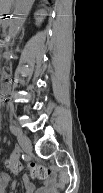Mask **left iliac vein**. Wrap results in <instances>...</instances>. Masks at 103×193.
I'll return each instance as SVG.
<instances>
[{
    "instance_id": "obj_1",
    "label": "left iliac vein",
    "mask_w": 103,
    "mask_h": 193,
    "mask_svg": "<svg viewBox=\"0 0 103 193\" xmlns=\"http://www.w3.org/2000/svg\"><path fill=\"white\" fill-rule=\"evenodd\" d=\"M18 142L23 151L27 153H30L32 151V145H31L30 139L26 135L22 134L21 132L18 135Z\"/></svg>"
}]
</instances>
